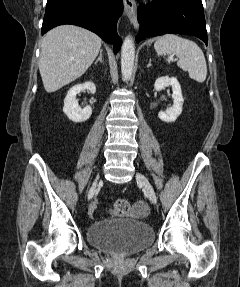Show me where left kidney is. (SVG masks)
I'll list each match as a JSON object with an SVG mask.
<instances>
[{"label": "left kidney", "mask_w": 240, "mask_h": 287, "mask_svg": "<svg viewBox=\"0 0 240 287\" xmlns=\"http://www.w3.org/2000/svg\"><path fill=\"white\" fill-rule=\"evenodd\" d=\"M172 87V98L174 104L171 108H168L166 111H160L158 113L159 118L167 123L174 122L178 116L182 113V106L184 99L182 97L181 86L178 80L175 77L163 76L156 79L154 88L157 91H161L165 87Z\"/></svg>", "instance_id": "5707ae66"}]
</instances>
